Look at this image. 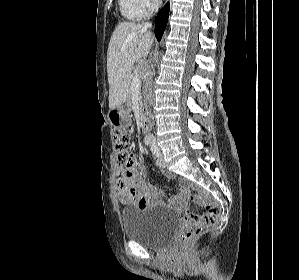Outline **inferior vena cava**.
<instances>
[{"label":"inferior vena cava","instance_id":"inferior-vena-cava-1","mask_svg":"<svg viewBox=\"0 0 299 280\" xmlns=\"http://www.w3.org/2000/svg\"><path fill=\"white\" fill-rule=\"evenodd\" d=\"M152 26L151 23L147 22L144 24V28L147 29V28H150Z\"/></svg>","mask_w":299,"mask_h":280}]
</instances>
